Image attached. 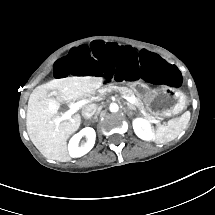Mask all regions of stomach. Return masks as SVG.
<instances>
[{"instance_id":"1","label":"stomach","mask_w":215,"mask_h":215,"mask_svg":"<svg viewBox=\"0 0 215 215\" xmlns=\"http://www.w3.org/2000/svg\"><path fill=\"white\" fill-rule=\"evenodd\" d=\"M131 90L145 105L147 111L157 117L176 115L186 106V96L174 88H150L142 83H136L132 85Z\"/></svg>"}]
</instances>
